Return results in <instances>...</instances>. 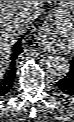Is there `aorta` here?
Here are the masks:
<instances>
[{
	"instance_id": "1",
	"label": "aorta",
	"mask_w": 74,
	"mask_h": 122,
	"mask_svg": "<svg viewBox=\"0 0 74 122\" xmlns=\"http://www.w3.org/2000/svg\"><path fill=\"white\" fill-rule=\"evenodd\" d=\"M47 70L55 76H64L70 71V64L63 56H49L46 60Z\"/></svg>"
}]
</instances>
